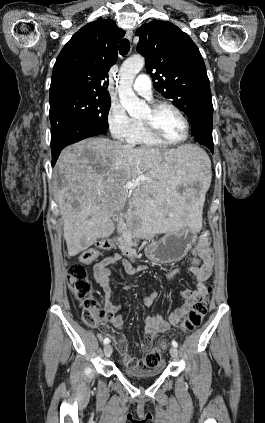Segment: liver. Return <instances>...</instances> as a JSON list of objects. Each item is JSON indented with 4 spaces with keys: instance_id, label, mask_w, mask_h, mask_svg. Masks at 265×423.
I'll use <instances>...</instances> for the list:
<instances>
[{
    "instance_id": "6515ba94",
    "label": "liver",
    "mask_w": 265,
    "mask_h": 423,
    "mask_svg": "<svg viewBox=\"0 0 265 423\" xmlns=\"http://www.w3.org/2000/svg\"><path fill=\"white\" fill-rule=\"evenodd\" d=\"M62 175L58 191L68 254L75 256L115 230L112 217L129 197L125 184L137 181L130 207H135L148 231L176 232L186 226L199 231L202 213L189 191L195 182L207 184L210 160L199 148H133L107 138H89L62 151L57 162Z\"/></svg>"
}]
</instances>
